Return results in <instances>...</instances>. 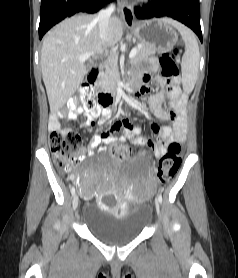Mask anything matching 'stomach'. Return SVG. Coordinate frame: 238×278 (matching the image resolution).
<instances>
[{"label":"stomach","mask_w":238,"mask_h":278,"mask_svg":"<svg viewBox=\"0 0 238 278\" xmlns=\"http://www.w3.org/2000/svg\"><path fill=\"white\" fill-rule=\"evenodd\" d=\"M142 44L155 47L158 51L170 50L178 41V33L163 19H151L130 27Z\"/></svg>","instance_id":"stomach-1"}]
</instances>
